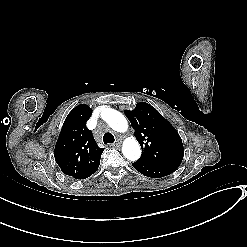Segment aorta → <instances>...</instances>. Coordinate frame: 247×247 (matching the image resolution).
Instances as JSON below:
<instances>
[{"label":"aorta","mask_w":247,"mask_h":247,"mask_svg":"<svg viewBox=\"0 0 247 247\" xmlns=\"http://www.w3.org/2000/svg\"><path fill=\"white\" fill-rule=\"evenodd\" d=\"M106 121L108 125L117 132H125L128 128V122L124 115L113 109L108 111ZM122 153L125 158L131 161L139 159L141 149L134 137H129L123 142Z\"/></svg>","instance_id":"1"}]
</instances>
